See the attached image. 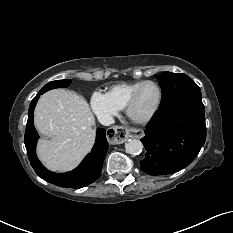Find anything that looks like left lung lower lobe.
<instances>
[{
	"label": "left lung lower lobe",
	"instance_id": "0a47b994",
	"mask_svg": "<svg viewBox=\"0 0 233 233\" xmlns=\"http://www.w3.org/2000/svg\"><path fill=\"white\" fill-rule=\"evenodd\" d=\"M141 142L147 151L140 168L149 175H167L188 166L206 140L201 94H187L159 107Z\"/></svg>",
	"mask_w": 233,
	"mask_h": 233
}]
</instances>
